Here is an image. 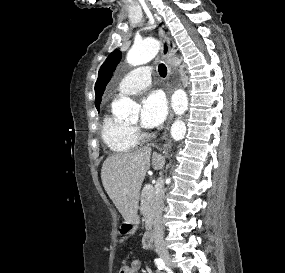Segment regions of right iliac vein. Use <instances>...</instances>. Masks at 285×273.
Returning a JSON list of instances; mask_svg holds the SVG:
<instances>
[{"mask_svg": "<svg viewBox=\"0 0 285 273\" xmlns=\"http://www.w3.org/2000/svg\"><path fill=\"white\" fill-rule=\"evenodd\" d=\"M159 256L161 257V259L168 265V266H172V259L170 257V255L168 253H160Z\"/></svg>", "mask_w": 285, "mask_h": 273, "instance_id": "right-iliac-vein-1", "label": "right iliac vein"}]
</instances>
